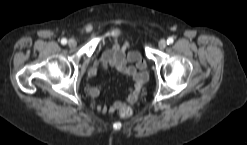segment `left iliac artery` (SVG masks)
<instances>
[{
  "instance_id": "obj_1",
  "label": "left iliac artery",
  "mask_w": 247,
  "mask_h": 145,
  "mask_svg": "<svg viewBox=\"0 0 247 145\" xmlns=\"http://www.w3.org/2000/svg\"><path fill=\"white\" fill-rule=\"evenodd\" d=\"M174 42V39L172 38V37H169L168 39H167V44L169 45V44H172Z\"/></svg>"
}]
</instances>
